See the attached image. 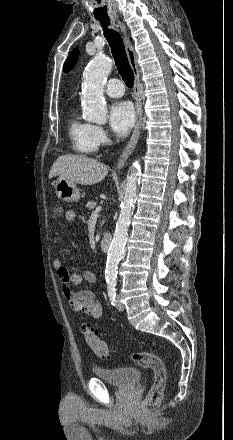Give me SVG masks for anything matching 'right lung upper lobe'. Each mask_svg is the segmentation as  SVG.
Returning a JSON list of instances; mask_svg holds the SVG:
<instances>
[{"mask_svg": "<svg viewBox=\"0 0 233 440\" xmlns=\"http://www.w3.org/2000/svg\"><path fill=\"white\" fill-rule=\"evenodd\" d=\"M78 56H79V50L78 49H74L70 53V55L68 56V58L66 59V61L64 63V66H63V71L64 72L67 73V72H69L74 67V65L77 62Z\"/></svg>", "mask_w": 233, "mask_h": 440, "instance_id": "cb5924a9", "label": "right lung upper lobe"}]
</instances>
